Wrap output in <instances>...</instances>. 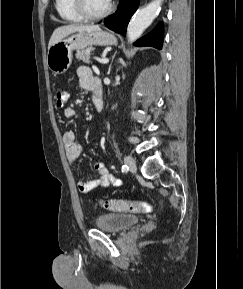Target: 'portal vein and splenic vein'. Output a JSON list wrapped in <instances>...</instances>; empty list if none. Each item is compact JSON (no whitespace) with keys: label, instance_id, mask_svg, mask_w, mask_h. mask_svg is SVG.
I'll list each match as a JSON object with an SVG mask.
<instances>
[{"label":"portal vein and splenic vein","instance_id":"portal-vein-and-splenic-vein-1","mask_svg":"<svg viewBox=\"0 0 243 289\" xmlns=\"http://www.w3.org/2000/svg\"><path fill=\"white\" fill-rule=\"evenodd\" d=\"M95 59L101 64H107L109 62V59H107V58H102V59L95 58Z\"/></svg>","mask_w":243,"mask_h":289}]
</instances>
